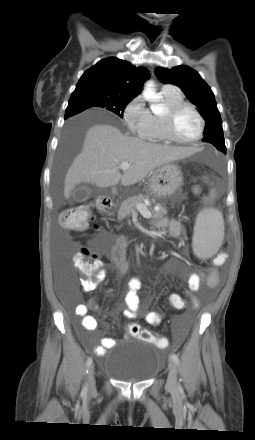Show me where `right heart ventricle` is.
Segmentation results:
<instances>
[{"label": "right heart ventricle", "instance_id": "e07e8e85", "mask_svg": "<svg viewBox=\"0 0 255 440\" xmlns=\"http://www.w3.org/2000/svg\"><path fill=\"white\" fill-rule=\"evenodd\" d=\"M161 96L162 101L167 108L184 102L182 94L174 88H172V90H162ZM143 138L153 142L166 141L161 116L152 115L151 130Z\"/></svg>", "mask_w": 255, "mask_h": 440}]
</instances>
